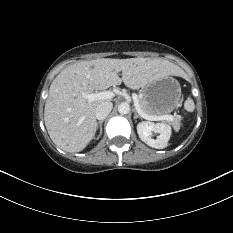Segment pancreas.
<instances>
[{
  "instance_id": "1",
  "label": "pancreas",
  "mask_w": 233,
  "mask_h": 233,
  "mask_svg": "<svg viewBox=\"0 0 233 233\" xmlns=\"http://www.w3.org/2000/svg\"><path fill=\"white\" fill-rule=\"evenodd\" d=\"M139 106L141 110L147 114V115H157L152 110L149 109L146 101L143 98L138 99ZM171 125L174 127V129L178 130L180 128V118L178 116H175L173 121H171Z\"/></svg>"
}]
</instances>
